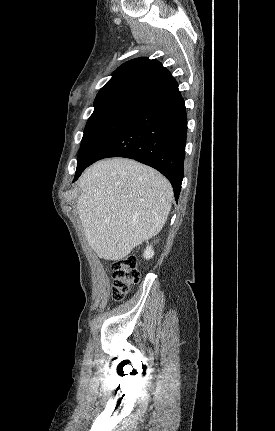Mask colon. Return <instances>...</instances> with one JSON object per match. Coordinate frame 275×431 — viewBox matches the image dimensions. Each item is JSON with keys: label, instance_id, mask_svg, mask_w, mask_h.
Returning <instances> with one entry per match:
<instances>
[{"label": "colon", "instance_id": "5ec220e1", "mask_svg": "<svg viewBox=\"0 0 275 431\" xmlns=\"http://www.w3.org/2000/svg\"><path fill=\"white\" fill-rule=\"evenodd\" d=\"M136 266V258L133 255L113 262L111 266L113 274L111 295L115 301L124 299L131 291L132 286L139 280Z\"/></svg>", "mask_w": 275, "mask_h": 431}]
</instances>
